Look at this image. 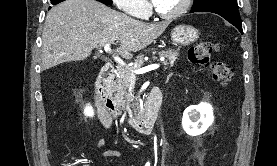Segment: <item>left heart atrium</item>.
Instances as JSON below:
<instances>
[{
    "label": "left heart atrium",
    "instance_id": "1",
    "mask_svg": "<svg viewBox=\"0 0 277 166\" xmlns=\"http://www.w3.org/2000/svg\"><path fill=\"white\" fill-rule=\"evenodd\" d=\"M154 3L157 1V0H152Z\"/></svg>",
    "mask_w": 277,
    "mask_h": 166
}]
</instances>
